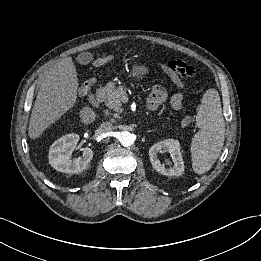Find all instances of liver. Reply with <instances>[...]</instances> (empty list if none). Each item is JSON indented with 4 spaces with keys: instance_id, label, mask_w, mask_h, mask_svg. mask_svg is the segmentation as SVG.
Here are the masks:
<instances>
[{
    "instance_id": "liver-1",
    "label": "liver",
    "mask_w": 261,
    "mask_h": 261,
    "mask_svg": "<svg viewBox=\"0 0 261 261\" xmlns=\"http://www.w3.org/2000/svg\"><path fill=\"white\" fill-rule=\"evenodd\" d=\"M78 77L72 57H67L55 65L43 79L32 109L28 135L39 138L42 133L64 113L69 111L77 100ZM80 116L89 124L95 120V113L84 107Z\"/></svg>"
}]
</instances>
